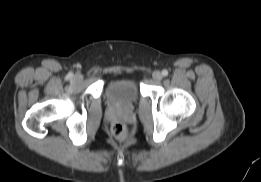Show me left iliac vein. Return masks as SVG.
Listing matches in <instances>:
<instances>
[{
	"label": "left iliac vein",
	"instance_id": "obj_1",
	"mask_svg": "<svg viewBox=\"0 0 261 182\" xmlns=\"http://www.w3.org/2000/svg\"><path fill=\"white\" fill-rule=\"evenodd\" d=\"M152 77L153 79L156 81V82H159L162 80L163 78V75L160 71H154L153 74H152Z\"/></svg>",
	"mask_w": 261,
	"mask_h": 182
}]
</instances>
